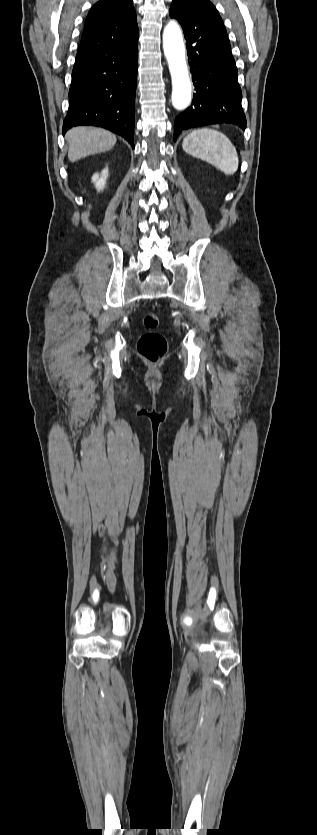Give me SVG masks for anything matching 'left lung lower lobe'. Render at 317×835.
<instances>
[{
	"mask_svg": "<svg viewBox=\"0 0 317 835\" xmlns=\"http://www.w3.org/2000/svg\"><path fill=\"white\" fill-rule=\"evenodd\" d=\"M181 25L195 93L192 105L175 119L174 141L182 130L210 124L231 123L245 129L237 68L221 17L192 12Z\"/></svg>",
	"mask_w": 317,
	"mask_h": 835,
	"instance_id": "1",
	"label": "left lung lower lobe"
}]
</instances>
